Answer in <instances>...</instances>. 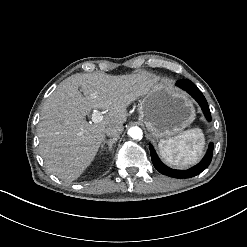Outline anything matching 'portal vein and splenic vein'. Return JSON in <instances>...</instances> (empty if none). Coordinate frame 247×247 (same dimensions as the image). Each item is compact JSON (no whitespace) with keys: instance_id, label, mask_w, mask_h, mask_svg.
Wrapping results in <instances>:
<instances>
[{"instance_id":"portal-vein-and-splenic-vein-1","label":"portal vein and splenic vein","mask_w":247,"mask_h":247,"mask_svg":"<svg viewBox=\"0 0 247 247\" xmlns=\"http://www.w3.org/2000/svg\"><path fill=\"white\" fill-rule=\"evenodd\" d=\"M93 123H99L103 120V115L100 112H93L92 113V118H91Z\"/></svg>"}]
</instances>
